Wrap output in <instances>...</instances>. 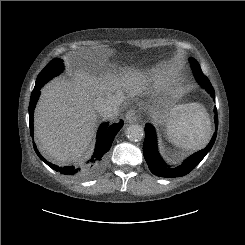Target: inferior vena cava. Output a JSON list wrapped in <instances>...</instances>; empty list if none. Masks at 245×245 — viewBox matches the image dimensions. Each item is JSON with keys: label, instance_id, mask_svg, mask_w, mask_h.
Listing matches in <instances>:
<instances>
[{"label": "inferior vena cava", "instance_id": "602c4592", "mask_svg": "<svg viewBox=\"0 0 245 245\" xmlns=\"http://www.w3.org/2000/svg\"><path fill=\"white\" fill-rule=\"evenodd\" d=\"M120 102L115 97L99 98L95 108L105 119H114L119 113Z\"/></svg>", "mask_w": 245, "mask_h": 245}]
</instances>
